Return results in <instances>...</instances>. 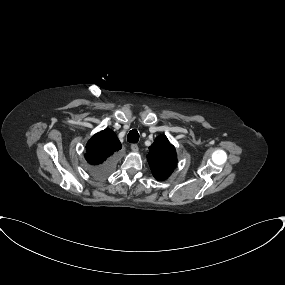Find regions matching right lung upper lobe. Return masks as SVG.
I'll return each mask as SVG.
<instances>
[{
    "mask_svg": "<svg viewBox=\"0 0 285 285\" xmlns=\"http://www.w3.org/2000/svg\"><path fill=\"white\" fill-rule=\"evenodd\" d=\"M121 147L116 134L110 129H105L88 141L85 158L89 164L98 166L111 159Z\"/></svg>",
    "mask_w": 285,
    "mask_h": 285,
    "instance_id": "obj_1",
    "label": "right lung upper lobe"
}]
</instances>
